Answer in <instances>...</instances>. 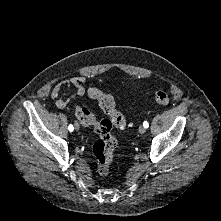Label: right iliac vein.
<instances>
[{
	"instance_id": "obj_1",
	"label": "right iliac vein",
	"mask_w": 221,
	"mask_h": 221,
	"mask_svg": "<svg viewBox=\"0 0 221 221\" xmlns=\"http://www.w3.org/2000/svg\"><path fill=\"white\" fill-rule=\"evenodd\" d=\"M75 129L78 130L79 129V125L77 123H75Z\"/></svg>"
}]
</instances>
